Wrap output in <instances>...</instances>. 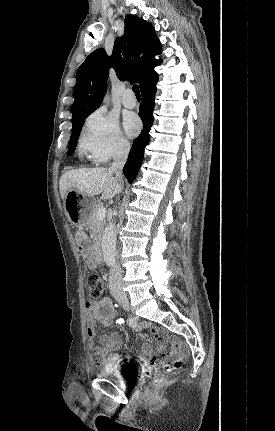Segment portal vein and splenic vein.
I'll list each match as a JSON object with an SVG mask.
<instances>
[{"instance_id": "portal-vein-and-splenic-vein-1", "label": "portal vein and splenic vein", "mask_w": 275, "mask_h": 431, "mask_svg": "<svg viewBox=\"0 0 275 431\" xmlns=\"http://www.w3.org/2000/svg\"><path fill=\"white\" fill-rule=\"evenodd\" d=\"M105 216H106V209L103 207L99 208L96 212V217L101 220V219H104Z\"/></svg>"}]
</instances>
